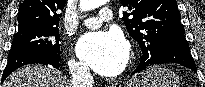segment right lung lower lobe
<instances>
[{
  "instance_id": "right-lung-lower-lobe-1",
  "label": "right lung lower lobe",
  "mask_w": 205,
  "mask_h": 87,
  "mask_svg": "<svg viewBox=\"0 0 205 87\" xmlns=\"http://www.w3.org/2000/svg\"><path fill=\"white\" fill-rule=\"evenodd\" d=\"M59 61L60 60L56 58L49 57L44 54L33 51L9 52L8 62L2 75V82L6 79L8 75H10L13 71H15L23 65L32 63H40L44 65L49 64L55 67L56 69H59Z\"/></svg>"
}]
</instances>
